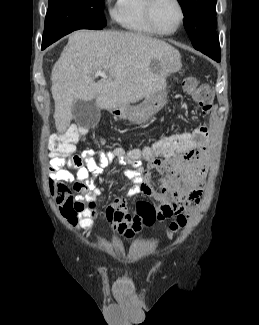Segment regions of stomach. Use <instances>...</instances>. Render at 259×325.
<instances>
[{"mask_svg": "<svg viewBox=\"0 0 259 325\" xmlns=\"http://www.w3.org/2000/svg\"><path fill=\"white\" fill-rule=\"evenodd\" d=\"M166 103L167 91L162 89L138 105H118L108 110L119 118L127 119L135 124H141L154 116Z\"/></svg>", "mask_w": 259, "mask_h": 325, "instance_id": "stomach-1", "label": "stomach"}]
</instances>
